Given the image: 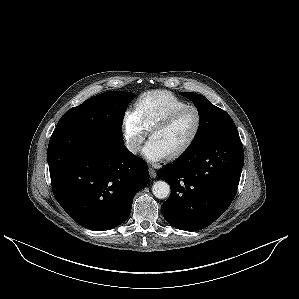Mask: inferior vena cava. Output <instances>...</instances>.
<instances>
[{"mask_svg": "<svg viewBox=\"0 0 299 299\" xmlns=\"http://www.w3.org/2000/svg\"><path fill=\"white\" fill-rule=\"evenodd\" d=\"M126 147L131 151L132 153H137L139 151V145L135 142H128L126 144Z\"/></svg>", "mask_w": 299, "mask_h": 299, "instance_id": "inferior-vena-cava-1", "label": "inferior vena cava"}]
</instances>
